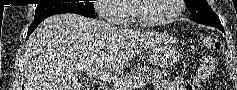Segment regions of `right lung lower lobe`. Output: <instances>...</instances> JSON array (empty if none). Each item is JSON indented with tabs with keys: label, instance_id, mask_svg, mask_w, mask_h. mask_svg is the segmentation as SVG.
Listing matches in <instances>:
<instances>
[{
	"label": "right lung lower lobe",
	"instance_id": "1",
	"mask_svg": "<svg viewBox=\"0 0 237 90\" xmlns=\"http://www.w3.org/2000/svg\"><path fill=\"white\" fill-rule=\"evenodd\" d=\"M67 13H75V14H80V15L86 16V17H92V18L96 17L93 13H88V12H83V11H72V12H67ZM46 18L34 20L32 22V24L30 25L28 32H27V38L37 28V26Z\"/></svg>",
	"mask_w": 237,
	"mask_h": 90
}]
</instances>
